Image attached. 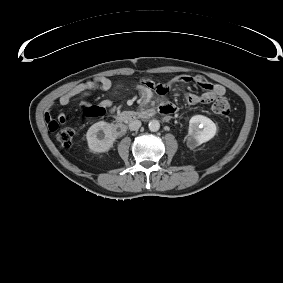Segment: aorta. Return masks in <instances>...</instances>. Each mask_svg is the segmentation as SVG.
Instances as JSON below:
<instances>
[{"mask_svg":"<svg viewBox=\"0 0 283 283\" xmlns=\"http://www.w3.org/2000/svg\"><path fill=\"white\" fill-rule=\"evenodd\" d=\"M149 130L152 132H157L160 129V123L158 120L153 119L148 124Z\"/></svg>","mask_w":283,"mask_h":283,"instance_id":"1","label":"aorta"}]
</instances>
